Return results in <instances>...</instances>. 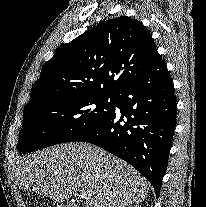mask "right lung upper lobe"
I'll return each instance as SVG.
<instances>
[{"mask_svg":"<svg viewBox=\"0 0 206 207\" xmlns=\"http://www.w3.org/2000/svg\"><path fill=\"white\" fill-rule=\"evenodd\" d=\"M160 57L153 38L138 20H107L57 48L34 83L24 111L76 97L116 95Z\"/></svg>","mask_w":206,"mask_h":207,"instance_id":"right-lung-upper-lobe-1","label":"right lung upper lobe"}]
</instances>
